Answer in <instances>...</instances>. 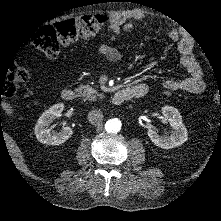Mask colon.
<instances>
[{
    "mask_svg": "<svg viewBox=\"0 0 221 221\" xmlns=\"http://www.w3.org/2000/svg\"><path fill=\"white\" fill-rule=\"evenodd\" d=\"M107 25L102 15L72 18L38 28L32 36L33 46L47 57L55 58L61 46H69L78 39H97ZM28 80V70L15 66L1 81L3 95H13Z\"/></svg>",
    "mask_w": 221,
    "mask_h": 221,
    "instance_id": "1",
    "label": "colon"
}]
</instances>
